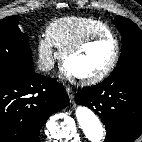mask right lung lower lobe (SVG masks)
Returning a JSON list of instances; mask_svg holds the SVG:
<instances>
[{"label":"right lung lower lobe","mask_w":142,"mask_h":142,"mask_svg":"<svg viewBox=\"0 0 142 142\" xmlns=\"http://www.w3.org/2000/svg\"><path fill=\"white\" fill-rule=\"evenodd\" d=\"M68 102L54 78L34 70L0 74V142H38L45 121Z\"/></svg>","instance_id":"right-lung-lower-lobe-1"}]
</instances>
